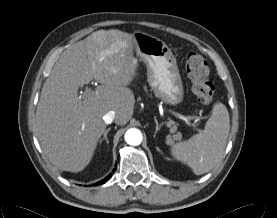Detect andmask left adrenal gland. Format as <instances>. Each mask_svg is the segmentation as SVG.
<instances>
[{"label":"left adrenal gland","instance_id":"a2214340","mask_svg":"<svg viewBox=\"0 0 277 218\" xmlns=\"http://www.w3.org/2000/svg\"><path fill=\"white\" fill-rule=\"evenodd\" d=\"M154 120H155V123H156V129H155V132H154V138H155L157 132H158V131L160 130V128H161V125H158V121H157L156 117H154ZM157 150L159 151L160 149L157 147Z\"/></svg>","mask_w":277,"mask_h":218}]
</instances>
